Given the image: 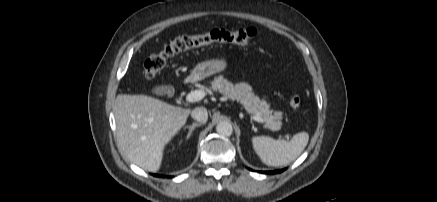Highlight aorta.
Instances as JSON below:
<instances>
[{"instance_id": "aorta-1", "label": "aorta", "mask_w": 437, "mask_h": 202, "mask_svg": "<svg viewBox=\"0 0 437 202\" xmlns=\"http://www.w3.org/2000/svg\"><path fill=\"white\" fill-rule=\"evenodd\" d=\"M216 131L218 134H220L221 136H231L232 132H233V127L231 125V123L227 122V121H223L217 124L216 126Z\"/></svg>"}]
</instances>
